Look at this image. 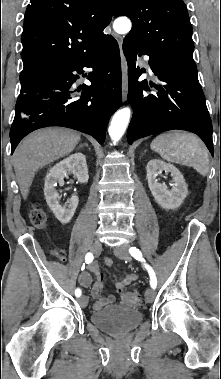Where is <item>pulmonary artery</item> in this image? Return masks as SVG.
<instances>
[{"label": "pulmonary artery", "mask_w": 221, "mask_h": 379, "mask_svg": "<svg viewBox=\"0 0 221 379\" xmlns=\"http://www.w3.org/2000/svg\"><path fill=\"white\" fill-rule=\"evenodd\" d=\"M145 61H146V63H147V67H148L149 71L152 73V70H151V68H150V66H149V64H148V58H145Z\"/></svg>", "instance_id": "pulmonary-artery-1"}]
</instances>
